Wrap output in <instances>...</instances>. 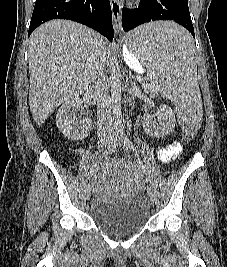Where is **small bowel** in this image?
Returning <instances> with one entry per match:
<instances>
[{"instance_id": "c3829d8e", "label": "small bowel", "mask_w": 227, "mask_h": 267, "mask_svg": "<svg viewBox=\"0 0 227 267\" xmlns=\"http://www.w3.org/2000/svg\"><path fill=\"white\" fill-rule=\"evenodd\" d=\"M181 152V145L178 142H172L169 145L161 148L158 156L162 162H170L174 160ZM95 192L100 196H109L117 192L116 187H105L101 184L95 186Z\"/></svg>"}]
</instances>
